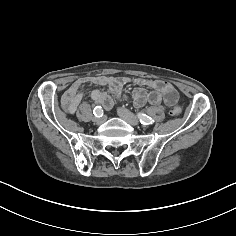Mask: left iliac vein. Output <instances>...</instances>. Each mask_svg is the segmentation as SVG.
Listing matches in <instances>:
<instances>
[{
	"instance_id": "4c4485c4",
	"label": "left iliac vein",
	"mask_w": 236,
	"mask_h": 236,
	"mask_svg": "<svg viewBox=\"0 0 236 236\" xmlns=\"http://www.w3.org/2000/svg\"><path fill=\"white\" fill-rule=\"evenodd\" d=\"M117 113L123 120L128 122L130 125L132 126L139 125L138 119L129 110L125 108H119Z\"/></svg>"
}]
</instances>
